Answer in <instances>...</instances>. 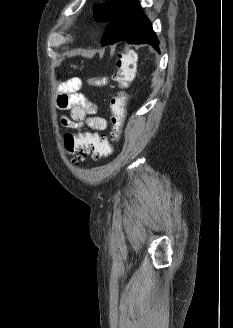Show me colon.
Instances as JSON below:
<instances>
[{
    "label": "colon",
    "instance_id": "5ec220e1",
    "mask_svg": "<svg viewBox=\"0 0 233 328\" xmlns=\"http://www.w3.org/2000/svg\"><path fill=\"white\" fill-rule=\"evenodd\" d=\"M136 69V56L132 51L118 54L114 81L119 88L111 100L110 120L112 135L115 141L119 140L126 116L127 96L124 91L134 78ZM64 147L70 155L73 164L83 163L91 153L96 159H103L111 155L112 145L104 138L90 133L68 134L64 137Z\"/></svg>",
    "mask_w": 233,
    "mask_h": 328
}]
</instances>
